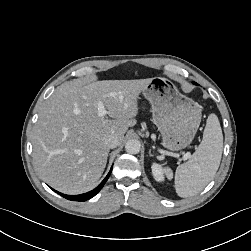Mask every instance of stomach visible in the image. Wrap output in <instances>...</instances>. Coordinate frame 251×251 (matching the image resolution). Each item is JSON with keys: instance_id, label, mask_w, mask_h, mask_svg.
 Here are the masks:
<instances>
[{"instance_id": "obj_1", "label": "stomach", "mask_w": 251, "mask_h": 251, "mask_svg": "<svg viewBox=\"0 0 251 251\" xmlns=\"http://www.w3.org/2000/svg\"><path fill=\"white\" fill-rule=\"evenodd\" d=\"M142 94L151 104L153 122L161 133L163 146L172 151L189 146L201 122L198 103L162 77L152 78Z\"/></svg>"}]
</instances>
